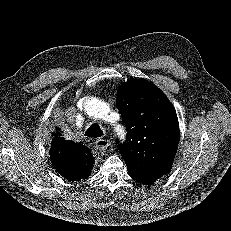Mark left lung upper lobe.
Masks as SVG:
<instances>
[{"label":"left lung upper lobe","instance_id":"1","mask_svg":"<svg viewBox=\"0 0 231 231\" xmlns=\"http://www.w3.org/2000/svg\"><path fill=\"white\" fill-rule=\"evenodd\" d=\"M117 108L127 129L120 153L132 173L166 174L179 143V124L165 94L145 79L123 83Z\"/></svg>","mask_w":231,"mask_h":231}]
</instances>
